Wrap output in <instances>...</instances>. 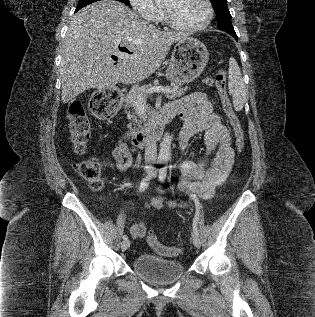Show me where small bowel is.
I'll use <instances>...</instances> for the list:
<instances>
[{
  "instance_id": "small-bowel-1",
  "label": "small bowel",
  "mask_w": 315,
  "mask_h": 317,
  "mask_svg": "<svg viewBox=\"0 0 315 317\" xmlns=\"http://www.w3.org/2000/svg\"><path fill=\"white\" fill-rule=\"evenodd\" d=\"M166 108L175 111L184 121L178 142L180 151L185 149L193 135L205 133L204 155L198 161L184 160L179 164L181 180L176 189L187 194H195L202 199H209L225 182L234 165L235 152L230 131L203 92L186 95ZM109 158L121 172L131 167L132 155L127 146V137L120 140L111 150ZM163 193L164 191L159 188L158 195L150 199L145 208L161 210L165 206L176 208L185 205L174 200H165ZM129 231L134 239H141L146 232L145 222L140 220L134 223Z\"/></svg>"
}]
</instances>
